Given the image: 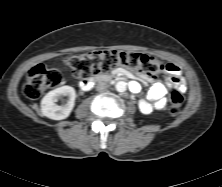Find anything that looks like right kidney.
I'll use <instances>...</instances> for the list:
<instances>
[{
	"label": "right kidney",
	"mask_w": 222,
	"mask_h": 187,
	"mask_svg": "<svg viewBox=\"0 0 222 187\" xmlns=\"http://www.w3.org/2000/svg\"><path fill=\"white\" fill-rule=\"evenodd\" d=\"M63 96L68 97L65 105H57L59 99ZM76 98L75 89L65 85L48 92L41 100V112L44 116L53 120L66 119L73 107Z\"/></svg>",
	"instance_id": "1"
}]
</instances>
